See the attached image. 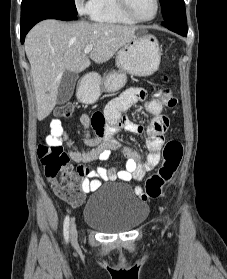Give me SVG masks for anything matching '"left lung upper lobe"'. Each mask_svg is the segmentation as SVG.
Returning a JSON list of instances; mask_svg holds the SVG:
<instances>
[{
  "mask_svg": "<svg viewBox=\"0 0 227 279\" xmlns=\"http://www.w3.org/2000/svg\"><path fill=\"white\" fill-rule=\"evenodd\" d=\"M164 20L186 19L184 0H159Z\"/></svg>",
  "mask_w": 227,
  "mask_h": 279,
  "instance_id": "left-lung-upper-lobe-1",
  "label": "left lung upper lobe"
}]
</instances>
